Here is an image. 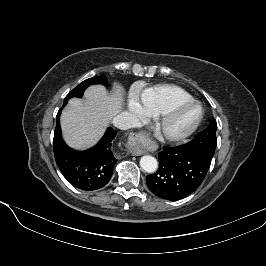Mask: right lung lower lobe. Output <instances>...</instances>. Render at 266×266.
I'll use <instances>...</instances> for the list:
<instances>
[{"instance_id":"98d812e1","label":"right lung lower lobe","mask_w":266,"mask_h":266,"mask_svg":"<svg viewBox=\"0 0 266 266\" xmlns=\"http://www.w3.org/2000/svg\"><path fill=\"white\" fill-rule=\"evenodd\" d=\"M66 104H63V107ZM54 131L53 149L56 163L63 176L76 188L93 191L104 187L111 179L117 162L114 156L116 131L108 128L100 142L87 151H75L62 139L60 114Z\"/></svg>"}]
</instances>
